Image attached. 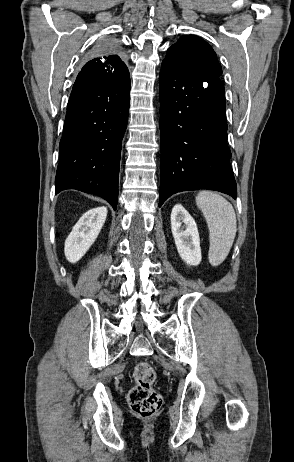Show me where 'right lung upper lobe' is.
Segmentation results:
<instances>
[{"instance_id": "cb5924a9", "label": "right lung upper lobe", "mask_w": 294, "mask_h": 462, "mask_svg": "<svg viewBox=\"0 0 294 462\" xmlns=\"http://www.w3.org/2000/svg\"><path fill=\"white\" fill-rule=\"evenodd\" d=\"M116 50H105L93 56L81 69L72 91H82L110 84L128 74Z\"/></svg>"}]
</instances>
